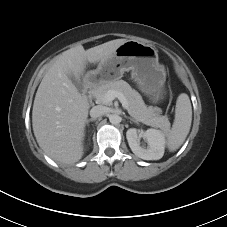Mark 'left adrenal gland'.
<instances>
[{"label": "left adrenal gland", "instance_id": "a2214340", "mask_svg": "<svg viewBox=\"0 0 227 227\" xmlns=\"http://www.w3.org/2000/svg\"><path fill=\"white\" fill-rule=\"evenodd\" d=\"M127 119H129L130 121H132V122H134V123H137V121L136 120H134L133 118H131V117H126Z\"/></svg>", "mask_w": 227, "mask_h": 227}]
</instances>
